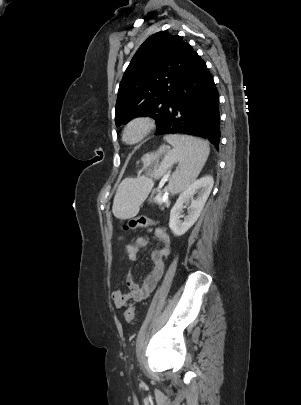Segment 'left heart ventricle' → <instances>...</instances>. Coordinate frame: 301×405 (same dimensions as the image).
<instances>
[{
  "mask_svg": "<svg viewBox=\"0 0 301 405\" xmlns=\"http://www.w3.org/2000/svg\"><path fill=\"white\" fill-rule=\"evenodd\" d=\"M136 136V131L132 130L129 134H128V139H133Z\"/></svg>",
  "mask_w": 301,
  "mask_h": 405,
  "instance_id": "obj_1",
  "label": "left heart ventricle"
}]
</instances>
